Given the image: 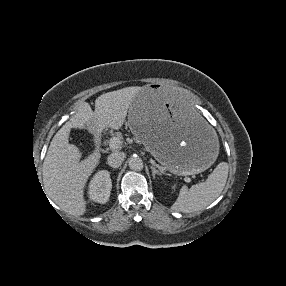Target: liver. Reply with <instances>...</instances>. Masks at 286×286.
I'll use <instances>...</instances> for the list:
<instances>
[{"instance_id":"1","label":"liver","mask_w":286,"mask_h":286,"mask_svg":"<svg viewBox=\"0 0 286 286\" xmlns=\"http://www.w3.org/2000/svg\"><path fill=\"white\" fill-rule=\"evenodd\" d=\"M140 90L136 86L102 94L95 100L94 112L84 105L53 137L43 162V184L46 194L65 212L74 216L86 213L85 184L101 158L96 150L80 160L79 148L69 143L71 129L87 126L94 135L105 128L119 130Z\"/></svg>"}]
</instances>
